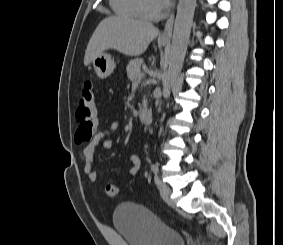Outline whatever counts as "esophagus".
<instances>
[{"label": "esophagus", "mask_w": 283, "mask_h": 245, "mask_svg": "<svg viewBox=\"0 0 283 245\" xmlns=\"http://www.w3.org/2000/svg\"><path fill=\"white\" fill-rule=\"evenodd\" d=\"M175 15L172 13L170 17L167 19L164 29L161 32L159 39L161 41H170L172 37L173 23H174Z\"/></svg>", "instance_id": "esophagus-1"}]
</instances>
